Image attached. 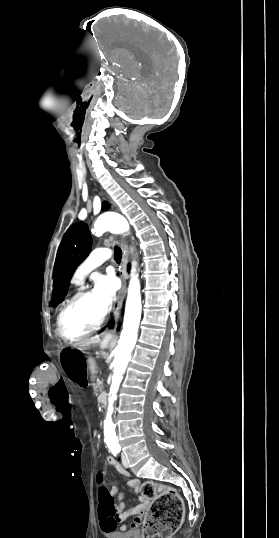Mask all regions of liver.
<instances>
[{
	"label": "liver",
	"mask_w": 279,
	"mask_h": 538,
	"mask_svg": "<svg viewBox=\"0 0 279 538\" xmlns=\"http://www.w3.org/2000/svg\"><path fill=\"white\" fill-rule=\"evenodd\" d=\"M99 342H100V338H90V340H87L84 346H91V344H99Z\"/></svg>",
	"instance_id": "1"
}]
</instances>
